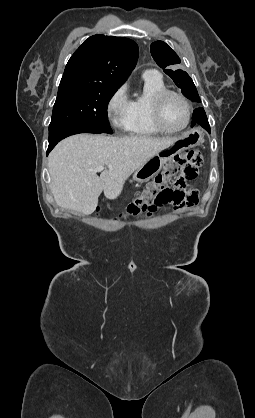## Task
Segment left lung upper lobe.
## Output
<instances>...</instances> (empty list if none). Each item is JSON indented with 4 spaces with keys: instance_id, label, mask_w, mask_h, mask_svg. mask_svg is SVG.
<instances>
[{
    "instance_id": "obj_1",
    "label": "left lung upper lobe",
    "mask_w": 255,
    "mask_h": 418,
    "mask_svg": "<svg viewBox=\"0 0 255 418\" xmlns=\"http://www.w3.org/2000/svg\"><path fill=\"white\" fill-rule=\"evenodd\" d=\"M150 51L157 65L172 78L179 88H181L183 95L191 101L201 102L197 89L190 76L180 69H169V67H174V65L181 62L178 55L163 41L152 43Z\"/></svg>"
}]
</instances>
